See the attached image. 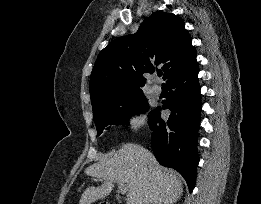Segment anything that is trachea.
<instances>
[{"label":"trachea","mask_w":261,"mask_h":204,"mask_svg":"<svg viewBox=\"0 0 261 204\" xmlns=\"http://www.w3.org/2000/svg\"><path fill=\"white\" fill-rule=\"evenodd\" d=\"M157 74H158V76H159V77H161V76H162V72H158Z\"/></svg>","instance_id":"trachea-1"}]
</instances>
